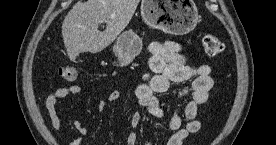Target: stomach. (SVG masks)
I'll use <instances>...</instances> for the list:
<instances>
[{"instance_id":"stomach-1","label":"stomach","mask_w":276,"mask_h":145,"mask_svg":"<svg viewBox=\"0 0 276 145\" xmlns=\"http://www.w3.org/2000/svg\"><path fill=\"white\" fill-rule=\"evenodd\" d=\"M141 15L149 27L173 35L189 33L199 18L193 0H143ZM141 49V38L134 31L127 30L117 38L113 52L119 64L124 66L131 63Z\"/></svg>"}]
</instances>
